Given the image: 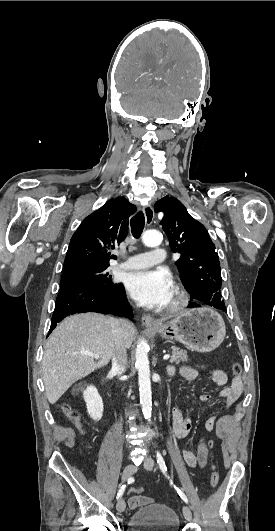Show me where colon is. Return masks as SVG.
<instances>
[{
  "mask_svg": "<svg viewBox=\"0 0 275 531\" xmlns=\"http://www.w3.org/2000/svg\"><path fill=\"white\" fill-rule=\"evenodd\" d=\"M232 371L235 374L241 373V365L240 363L236 362L232 365ZM62 410L64 414L74 423H78L80 421L81 415L80 413L68 406H63ZM210 446H212V442H210ZM210 481L212 488H216L219 482V474L216 469V465L214 462H212V472L210 475ZM129 490H133V494H144L146 492V489L144 487H131Z\"/></svg>",
  "mask_w": 275,
  "mask_h": 531,
  "instance_id": "5ec220e1",
  "label": "colon"
}]
</instances>
